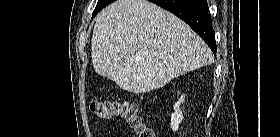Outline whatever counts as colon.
Wrapping results in <instances>:
<instances>
[{"instance_id": "colon-1", "label": "colon", "mask_w": 280, "mask_h": 137, "mask_svg": "<svg viewBox=\"0 0 280 137\" xmlns=\"http://www.w3.org/2000/svg\"><path fill=\"white\" fill-rule=\"evenodd\" d=\"M90 109L101 119H124L139 134V137H156L154 130L143 123L136 106L128 104L124 100L104 99L94 101Z\"/></svg>"}]
</instances>
